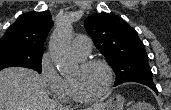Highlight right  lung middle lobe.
<instances>
[{"mask_svg": "<svg viewBox=\"0 0 171 110\" xmlns=\"http://www.w3.org/2000/svg\"><path fill=\"white\" fill-rule=\"evenodd\" d=\"M43 52H33L13 44H0V70L7 67H28L41 73Z\"/></svg>", "mask_w": 171, "mask_h": 110, "instance_id": "dd1d6c3e", "label": "right lung middle lobe"}]
</instances>
